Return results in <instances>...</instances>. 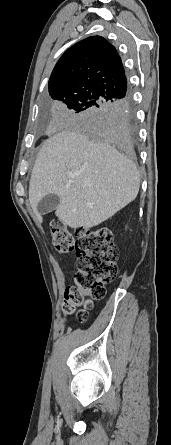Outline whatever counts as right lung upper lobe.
Returning <instances> with one entry per match:
<instances>
[{
  "instance_id": "obj_1",
  "label": "right lung upper lobe",
  "mask_w": 171,
  "mask_h": 445,
  "mask_svg": "<svg viewBox=\"0 0 171 445\" xmlns=\"http://www.w3.org/2000/svg\"><path fill=\"white\" fill-rule=\"evenodd\" d=\"M90 91L105 101L129 96L127 79L115 47L103 37H88L70 47L49 79L52 98L64 91Z\"/></svg>"
}]
</instances>
